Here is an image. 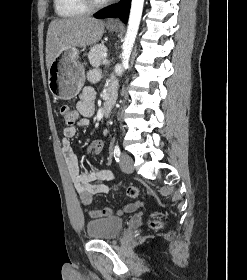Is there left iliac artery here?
Masks as SVG:
<instances>
[{
	"label": "left iliac artery",
	"instance_id": "1",
	"mask_svg": "<svg viewBox=\"0 0 247 280\" xmlns=\"http://www.w3.org/2000/svg\"><path fill=\"white\" fill-rule=\"evenodd\" d=\"M120 156H121L120 148H119L118 145H115V147H114V157H115L116 162L120 161Z\"/></svg>",
	"mask_w": 247,
	"mask_h": 280
}]
</instances>
